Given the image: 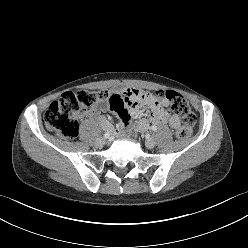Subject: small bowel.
<instances>
[{"mask_svg": "<svg viewBox=\"0 0 248 248\" xmlns=\"http://www.w3.org/2000/svg\"><path fill=\"white\" fill-rule=\"evenodd\" d=\"M114 94L109 100L101 101V103L86 112V115L92 118H98L101 126L108 132L113 131V125L105 116H101L100 112L110 109L115 112L121 120L119 132H124L130 125L131 116L137 111L140 103H146L151 110L150 119H141L137 128L140 131L149 129L153 124H169L173 129L180 127V120L177 116L169 114L167 111L168 102L164 98H158L149 95L137 88H127L124 83H119L111 92Z\"/></svg>", "mask_w": 248, "mask_h": 248, "instance_id": "c3829d8e", "label": "small bowel"}]
</instances>
